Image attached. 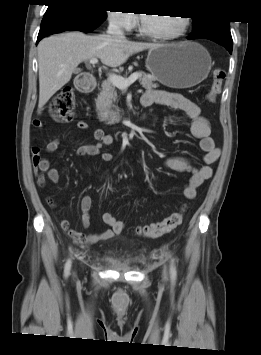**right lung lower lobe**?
<instances>
[{
	"mask_svg": "<svg viewBox=\"0 0 261 355\" xmlns=\"http://www.w3.org/2000/svg\"><path fill=\"white\" fill-rule=\"evenodd\" d=\"M103 21L92 18L75 8L52 4L44 14L37 43L45 36L63 31L79 30L89 32L97 28Z\"/></svg>",
	"mask_w": 261,
	"mask_h": 355,
	"instance_id": "right-lung-lower-lobe-1",
	"label": "right lung lower lobe"
}]
</instances>
